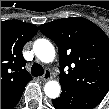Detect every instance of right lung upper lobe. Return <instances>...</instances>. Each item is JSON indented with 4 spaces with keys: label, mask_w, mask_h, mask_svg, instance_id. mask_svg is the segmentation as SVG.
I'll return each mask as SVG.
<instances>
[{
    "label": "right lung upper lobe",
    "mask_w": 109,
    "mask_h": 109,
    "mask_svg": "<svg viewBox=\"0 0 109 109\" xmlns=\"http://www.w3.org/2000/svg\"><path fill=\"white\" fill-rule=\"evenodd\" d=\"M37 32L35 25L19 20L1 22V99L32 79L25 69L22 49Z\"/></svg>",
    "instance_id": "right-lung-upper-lobe-1"
}]
</instances>
